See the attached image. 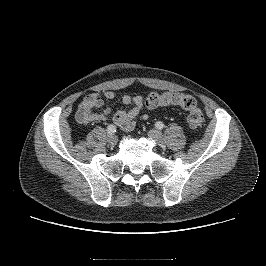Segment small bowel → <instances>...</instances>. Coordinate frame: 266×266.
Wrapping results in <instances>:
<instances>
[{
    "label": "small bowel",
    "mask_w": 266,
    "mask_h": 266,
    "mask_svg": "<svg viewBox=\"0 0 266 266\" xmlns=\"http://www.w3.org/2000/svg\"><path fill=\"white\" fill-rule=\"evenodd\" d=\"M114 98L115 93L113 91L93 92L86 95L78 106L77 122L81 125H87L93 122L112 121L122 130L131 131L136 126L137 118L143 120L148 118V115L143 112V98L139 95H124L121 101L128 109L118 110L111 116V110L104 107L103 100H113Z\"/></svg>",
    "instance_id": "1"
}]
</instances>
